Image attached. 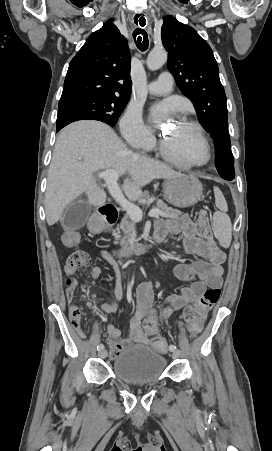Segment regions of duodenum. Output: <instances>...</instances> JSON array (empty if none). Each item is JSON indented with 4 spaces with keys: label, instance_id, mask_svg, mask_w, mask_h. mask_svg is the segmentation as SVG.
I'll return each instance as SVG.
<instances>
[{
    "label": "duodenum",
    "instance_id": "obj_1",
    "mask_svg": "<svg viewBox=\"0 0 272 451\" xmlns=\"http://www.w3.org/2000/svg\"><path fill=\"white\" fill-rule=\"evenodd\" d=\"M118 219V209L112 204H106L99 209L97 216H95L89 224L90 231L93 234H100L104 232L108 226L114 224ZM147 244H134L133 246L123 248L119 251L120 257H127L132 254H140L148 249Z\"/></svg>",
    "mask_w": 272,
    "mask_h": 451
}]
</instances>
